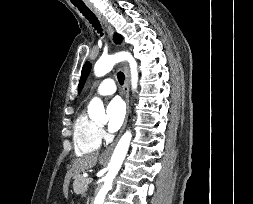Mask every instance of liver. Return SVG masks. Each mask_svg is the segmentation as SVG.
Returning <instances> with one entry per match:
<instances>
[{
  "instance_id": "obj_1",
  "label": "liver",
  "mask_w": 253,
  "mask_h": 204,
  "mask_svg": "<svg viewBox=\"0 0 253 204\" xmlns=\"http://www.w3.org/2000/svg\"><path fill=\"white\" fill-rule=\"evenodd\" d=\"M98 153H91L77 158L73 161L72 168L67 172L63 191L66 194L68 189L69 180L71 177L79 175L81 172L94 167L98 160Z\"/></svg>"
}]
</instances>
